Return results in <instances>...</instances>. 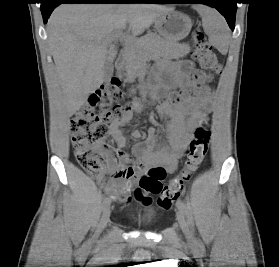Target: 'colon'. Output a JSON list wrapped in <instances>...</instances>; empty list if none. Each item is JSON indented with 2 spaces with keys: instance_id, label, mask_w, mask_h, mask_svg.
<instances>
[{
  "instance_id": "obj_1",
  "label": "colon",
  "mask_w": 279,
  "mask_h": 267,
  "mask_svg": "<svg viewBox=\"0 0 279 267\" xmlns=\"http://www.w3.org/2000/svg\"><path fill=\"white\" fill-rule=\"evenodd\" d=\"M192 41L195 45L193 59L203 70L219 73L221 70L219 60L205 40L203 32L193 31ZM193 79L195 86L202 88L209 81L210 75L205 71H197ZM187 96L185 91H176L170 94L169 101L173 104L179 103ZM122 98L121 83L117 78H112L95 91L89 97L88 102L80 107L71 118L75 157L80 166L93 177H98L106 168L104 155L108 151L105 141L109 133V125L121 120L135 105L132 101L119 103ZM210 139L209 124L204 121L197 127L190 141L187 159L181 172L169 183L163 185L162 169L150 168L139 180L136 198L148 204L150 202L148 195H158V205L163 209H170L179 198L185 183L205 158ZM114 174L117 177L129 178L133 176L134 170L131 167L118 166Z\"/></svg>"
}]
</instances>
